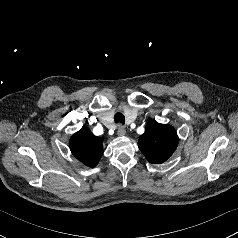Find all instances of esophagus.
<instances>
[{
	"label": "esophagus",
	"mask_w": 238,
	"mask_h": 238,
	"mask_svg": "<svg viewBox=\"0 0 238 238\" xmlns=\"http://www.w3.org/2000/svg\"><path fill=\"white\" fill-rule=\"evenodd\" d=\"M117 134L119 136H124L126 134V130H125L124 126H122L121 124H119L117 126Z\"/></svg>",
	"instance_id": "obj_1"
}]
</instances>
